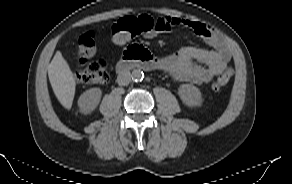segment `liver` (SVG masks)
<instances>
[{"mask_svg": "<svg viewBox=\"0 0 292 184\" xmlns=\"http://www.w3.org/2000/svg\"><path fill=\"white\" fill-rule=\"evenodd\" d=\"M48 77L54 94L66 109L72 107L75 95V78L60 51L54 55L48 66Z\"/></svg>", "mask_w": 292, "mask_h": 184, "instance_id": "1", "label": "liver"}]
</instances>
